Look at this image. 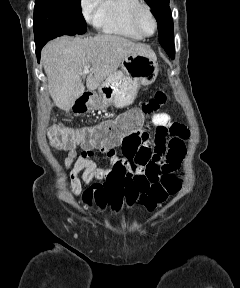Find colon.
Returning a JSON list of instances; mask_svg holds the SVG:
<instances>
[{
  "label": "colon",
  "instance_id": "obj_1",
  "mask_svg": "<svg viewBox=\"0 0 240 288\" xmlns=\"http://www.w3.org/2000/svg\"><path fill=\"white\" fill-rule=\"evenodd\" d=\"M167 101L163 89L142 106L132 108L113 120L105 121L94 127L71 130L61 125L53 126L48 131L51 144L59 149H71L77 146H92L105 142H117L126 137L136 136L144 126L145 120L156 113ZM182 180L172 174H165L159 183L140 196V203L153 211L170 196L179 192Z\"/></svg>",
  "mask_w": 240,
  "mask_h": 288
}]
</instances>
